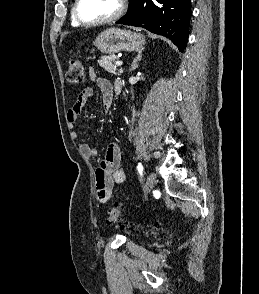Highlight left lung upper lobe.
Masks as SVG:
<instances>
[{
	"label": "left lung upper lobe",
	"mask_w": 259,
	"mask_h": 294,
	"mask_svg": "<svg viewBox=\"0 0 259 294\" xmlns=\"http://www.w3.org/2000/svg\"><path fill=\"white\" fill-rule=\"evenodd\" d=\"M132 1H133V0H130V6H129V10L131 9V2H132ZM129 10H128V11H129Z\"/></svg>",
	"instance_id": "1"
}]
</instances>
